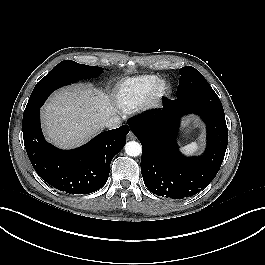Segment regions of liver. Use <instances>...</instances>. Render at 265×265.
<instances>
[{
	"mask_svg": "<svg viewBox=\"0 0 265 265\" xmlns=\"http://www.w3.org/2000/svg\"><path fill=\"white\" fill-rule=\"evenodd\" d=\"M114 114L107 94L77 84L55 92L43 106L41 117L47 140L67 149L87 142Z\"/></svg>",
	"mask_w": 265,
	"mask_h": 265,
	"instance_id": "liver-1",
	"label": "liver"
}]
</instances>
